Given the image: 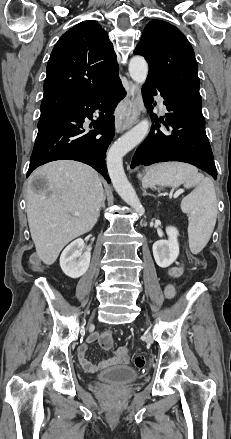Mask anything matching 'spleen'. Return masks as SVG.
Here are the masks:
<instances>
[{"instance_id":"obj_1","label":"spleen","mask_w":231,"mask_h":439,"mask_svg":"<svg viewBox=\"0 0 231 439\" xmlns=\"http://www.w3.org/2000/svg\"><path fill=\"white\" fill-rule=\"evenodd\" d=\"M156 184L195 187L181 202L182 212L188 215L189 247L193 254L199 253L208 243L217 218V198L212 180L186 163H162L151 167L142 186Z\"/></svg>"}]
</instances>
